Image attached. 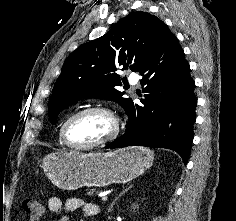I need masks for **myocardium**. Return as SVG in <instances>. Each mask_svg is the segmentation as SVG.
I'll list each match as a JSON object with an SVG mask.
<instances>
[{
  "label": "myocardium",
  "mask_w": 236,
  "mask_h": 221,
  "mask_svg": "<svg viewBox=\"0 0 236 221\" xmlns=\"http://www.w3.org/2000/svg\"><path fill=\"white\" fill-rule=\"evenodd\" d=\"M91 112H101V113H104L107 116H109L110 119L112 120V123H113L112 133L108 137H106L105 139H102L100 141H97V142H94L91 144H87V145L74 144L73 142H71V140L68 137V128H69L71 122L74 119H76L77 117H79L83 114H86V113H91ZM120 131H121V120L114 110H112L111 108H109L107 106H103V105H92V106L85 107V108L73 113L72 115H70L62 125L61 136H62L63 142L69 148L76 149V150H90V149L103 147V146H106V145L114 142L117 139V137L119 136Z\"/></svg>",
  "instance_id": "obj_1"
}]
</instances>
